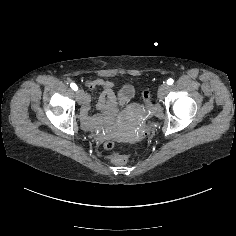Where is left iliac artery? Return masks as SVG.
<instances>
[{
    "label": "left iliac artery",
    "mask_w": 236,
    "mask_h": 236,
    "mask_svg": "<svg viewBox=\"0 0 236 236\" xmlns=\"http://www.w3.org/2000/svg\"><path fill=\"white\" fill-rule=\"evenodd\" d=\"M173 82H174V80H173L172 78H170V79L167 80V84H168V85H172Z\"/></svg>",
    "instance_id": "obj_1"
}]
</instances>
